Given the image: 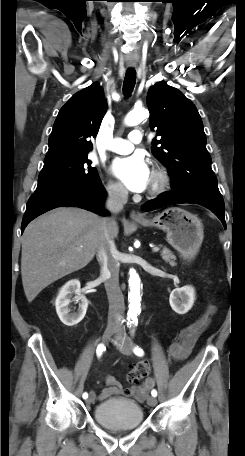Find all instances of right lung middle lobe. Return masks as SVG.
<instances>
[{
    "instance_id": "right-lung-middle-lobe-1",
    "label": "right lung middle lobe",
    "mask_w": 245,
    "mask_h": 456,
    "mask_svg": "<svg viewBox=\"0 0 245 456\" xmlns=\"http://www.w3.org/2000/svg\"><path fill=\"white\" fill-rule=\"evenodd\" d=\"M87 155L62 160L42 168L35 194L49 191L88 187L100 181L97 169L91 167Z\"/></svg>"
}]
</instances>
